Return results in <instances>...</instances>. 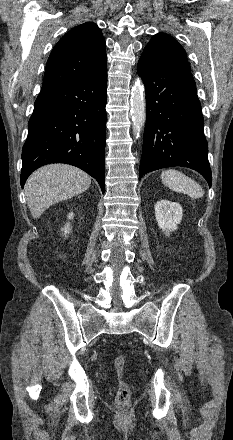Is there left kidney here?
Segmentation results:
<instances>
[{
	"instance_id": "left-kidney-1",
	"label": "left kidney",
	"mask_w": 233,
	"mask_h": 440,
	"mask_svg": "<svg viewBox=\"0 0 233 440\" xmlns=\"http://www.w3.org/2000/svg\"><path fill=\"white\" fill-rule=\"evenodd\" d=\"M155 217L158 227L162 229L166 236L169 232L175 231L183 217L182 207L175 202L161 200L155 204Z\"/></svg>"
}]
</instances>
